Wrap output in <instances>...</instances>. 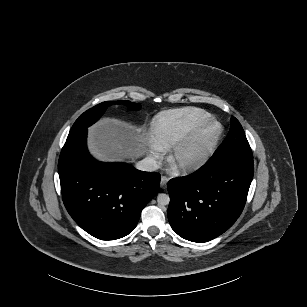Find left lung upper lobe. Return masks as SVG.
I'll list each match as a JSON object with an SVG mask.
<instances>
[{
    "mask_svg": "<svg viewBox=\"0 0 307 307\" xmlns=\"http://www.w3.org/2000/svg\"><path fill=\"white\" fill-rule=\"evenodd\" d=\"M230 156L253 158L244 130L235 117H231L229 134L214 152L211 160Z\"/></svg>",
    "mask_w": 307,
    "mask_h": 307,
    "instance_id": "1",
    "label": "left lung upper lobe"
}]
</instances>
